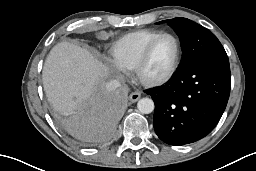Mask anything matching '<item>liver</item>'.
Wrapping results in <instances>:
<instances>
[{
    "instance_id": "liver-1",
    "label": "liver",
    "mask_w": 256,
    "mask_h": 171,
    "mask_svg": "<svg viewBox=\"0 0 256 171\" xmlns=\"http://www.w3.org/2000/svg\"><path fill=\"white\" fill-rule=\"evenodd\" d=\"M108 68L86 49L69 42L55 45L42 72L43 86L53 108L63 115L82 111L87 102L99 100V88Z\"/></svg>"
}]
</instances>
